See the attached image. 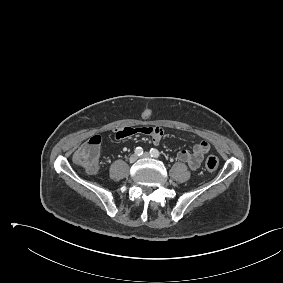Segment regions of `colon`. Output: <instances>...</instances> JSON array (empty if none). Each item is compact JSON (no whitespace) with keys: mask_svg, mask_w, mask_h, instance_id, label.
Returning a JSON list of instances; mask_svg holds the SVG:
<instances>
[{"mask_svg":"<svg viewBox=\"0 0 283 283\" xmlns=\"http://www.w3.org/2000/svg\"><path fill=\"white\" fill-rule=\"evenodd\" d=\"M101 138L98 135L91 137L74 154V161L89 172L96 170ZM219 166V159L215 155H209L205 160V168L215 171Z\"/></svg>","mask_w":283,"mask_h":283,"instance_id":"obj_1","label":"colon"}]
</instances>
